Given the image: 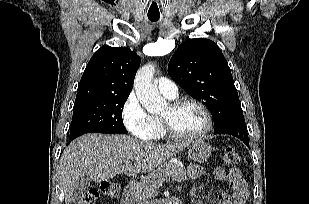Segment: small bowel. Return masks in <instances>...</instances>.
Instances as JSON below:
<instances>
[{"instance_id":"obj_1","label":"small bowel","mask_w":309,"mask_h":204,"mask_svg":"<svg viewBox=\"0 0 309 204\" xmlns=\"http://www.w3.org/2000/svg\"><path fill=\"white\" fill-rule=\"evenodd\" d=\"M192 175L197 176L202 173L198 167L190 169ZM216 180L229 181L232 184L231 194H221L218 198V204H245L249 195V185L243 178L241 170L237 167L224 168L216 167L212 171Z\"/></svg>"}]
</instances>
